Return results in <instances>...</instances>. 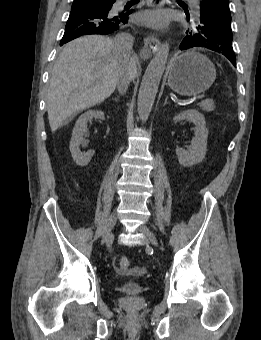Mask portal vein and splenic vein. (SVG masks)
Here are the masks:
<instances>
[{
  "label": "portal vein and splenic vein",
  "instance_id": "obj_1",
  "mask_svg": "<svg viewBox=\"0 0 261 340\" xmlns=\"http://www.w3.org/2000/svg\"><path fill=\"white\" fill-rule=\"evenodd\" d=\"M202 99V97L201 96H196V97H193V100H195V101H198V100H201Z\"/></svg>",
  "mask_w": 261,
  "mask_h": 340
}]
</instances>
